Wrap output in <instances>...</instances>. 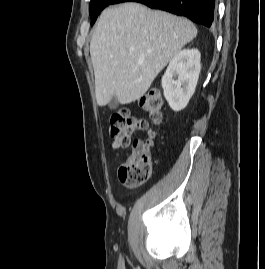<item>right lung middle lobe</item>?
<instances>
[{
	"label": "right lung middle lobe",
	"mask_w": 265,
	"mask_h": 269,
	"mask_svg": "<svg viewBox=\"0 0 265 269\" xmlns=\"http://www.w3.org/2000/svg\"><path fill=\"white\" fill-rule=\"evenodd\" d=\"M114 0H91L89 5V12L91 17V25L96 21L99 13Z\"/></svg>",
	"instance_id": "obj_1"
}]
</instances>
